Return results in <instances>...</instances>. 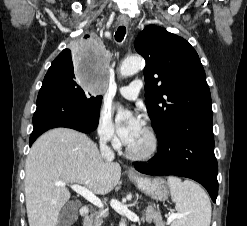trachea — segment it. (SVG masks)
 Returning <instances> with one entry per match:
<instances>
[{"label": "trachea", "instance_id": "trachea-1", "mask_svg": "<svg viewBox=\"0 0 247 226\" xmlns=\"http://www.w3.org/2000/svg\"><path fill=\"white\" fill-rule=\"evenodd\" d=\"M126 34V27L125 26H120L118 27L116 33H115V39L117 42H121Z\"/></svg>", "mask_w": 247, "mask_h": 226}]
</instances>
